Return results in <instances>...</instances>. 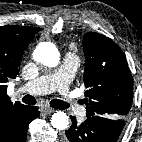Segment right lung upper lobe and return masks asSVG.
Wrapping results in <instances>:
<instances>
[{
	"instance_id": "1",
	"label": "right lung upper lobe",
	"mask_w": 142,
	"mask_h": 142,
	"mask_svg": "<svg viewBox=\"0 0 142 142\" xmlns=\"http://www.w3.org/2000/svg\"><path fill=\"white\" fill-rule=\"evenodd\" d=\"M40 30L35 27L0 26V128L25 106L18 101L11 102L6 83L18 74L24 50Z\"/></svg>"
}]
</instances>
